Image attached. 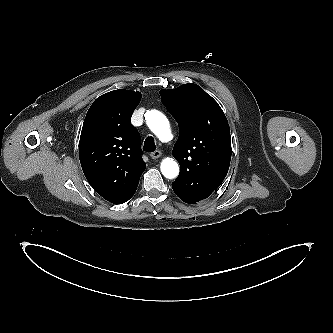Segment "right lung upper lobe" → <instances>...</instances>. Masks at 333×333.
<instances>
[{"label":"right lung upper lobe","mask_w":333,"mask_h":333,"mask_svg":"<svg viewBox=\"0 0 333 333\" xmlns=\"http://www.w3.org/2000/svg\"><path fill=\"white\" fill-rule=\"evenodd\" d=\"M141 93L114 90L98 97L83 123L79 158L94 190L114 204L128 201L145 170L140 135L131 116Z\"/></svg>","instance_id":"right-lung-upper-lobe-1"}]
</instances>
